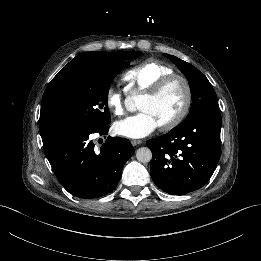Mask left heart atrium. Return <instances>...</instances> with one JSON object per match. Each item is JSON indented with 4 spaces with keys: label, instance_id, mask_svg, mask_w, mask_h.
I'll list each match as a JSON object with an SVG mask.
<instances>
[{
    "label": "left heart atrium",
    "instance_id": "39dd6f15",
    "mask_svg": "<svg viewBox=\"0 0 261 261\" xmlns=\"http://www.w3.org/2000/svg\"><path fill=\"white\" fill-rule=\"evenodd\" d=\"M160 126L158 121L148 111H141L123 121L114 124V132L117 135L130 138L141 139L157 129Z\"/></svg>",
    "mask_w": 261,
    "mask_h": 261
}]
</instances>
